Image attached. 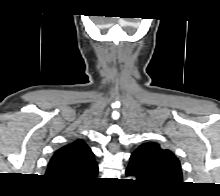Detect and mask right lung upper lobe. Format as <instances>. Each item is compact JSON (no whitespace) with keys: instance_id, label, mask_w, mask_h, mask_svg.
<instances>
[{"instance_id":"1","label":"right lung upper lobe","mask_w":220,"mask_h":196,"mask_svg":"<svg viewBox=\"0 0 220 196\" xmlns=\"http://www.w3.org/2000/svg\"><path fill=\"white\" fill-rule=\"evenodd\" d=\"M98 165L83 140L63 146L51 158L46 176L54 181L83 184L96 177Z\"/></svg>"}]
</instances>
